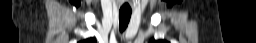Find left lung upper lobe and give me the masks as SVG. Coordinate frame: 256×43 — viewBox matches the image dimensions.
Here are the masks:
<instances>
[{
    "mask_svg": "<svg viewBox=\"0 0 256 43\" xmlns=\"http://www.w3.org/2000/svg\"><path fill=\"white\" fill-rule=\"evenodd\" d=\"M150 43H167V42L166 41H162V40L155 41L154 39H152L150 41Z\"/></svg>",
    "mask_w": 256,
    "mask_h": 43,
    "instance_id": "1",
    "label": "left lung upper lobe"
}]
</instances>
